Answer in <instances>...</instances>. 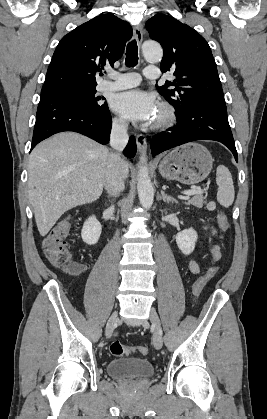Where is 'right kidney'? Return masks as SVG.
I'll return each instance as SVG.
<instances>
[{"label": "right kidney", "mask_w": 267, "mask_h": 419, "mask_svg": "<svg viewBox=\"0 0 267 419\" xmlns=\"http://www.w3.org/2000/svg\"><path fill=\"white\" fill-rule=\"evenodd\" d=\"M102 232V226L95 216L89 217L83 225L81 231L82 240L88 245H94L98 242Z\"/></svg>", "instance_id": "ca27d5eb"}]
</instances>
